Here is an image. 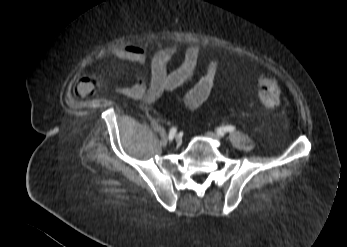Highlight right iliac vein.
Returning <instances> with one entry per match:
<instances>
[{"label": "right iliac vein", "instance_id": "1", "mask_svg": "<svg viewBox=\"0 0 347 247\" xmlns=\"http://www.w3.org/2000/svg\"><path fill=\"white\" fill-rule=\"evenodd\" d=\"M175 141L177 144H181L182 143V137L180 135H176Z\"/></svg>", "mask_w": 347, "mask_h": 247}]
</instances>
